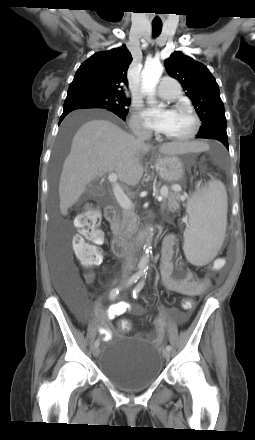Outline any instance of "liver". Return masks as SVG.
Returning a JSON list of instances; mask_svg holds the SVG:
<instances>
[{
  "instance_id": "6515ba94",
  "label": "liver",
  "mask_w": 255,
  "mask_h": 440,
  "mask_svg": "<svg viewBox=\"0 0 255 440\" xmlns=\"http://www.w3.org/2000/svg\"><path fill=\"white\" fill-rule=\"evenodd\" d=\"M150 148L108 120L84 123L74 135L63 164L59 183L61 214L66 216L86 186L105 173L115 172L121 182L136 186L143 175L140 159ZM207 148L204 143L193 141L165 143L158 150L172 156Z\"/></svg>"
}]
</instances>
